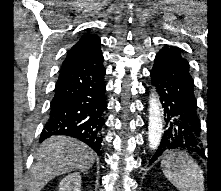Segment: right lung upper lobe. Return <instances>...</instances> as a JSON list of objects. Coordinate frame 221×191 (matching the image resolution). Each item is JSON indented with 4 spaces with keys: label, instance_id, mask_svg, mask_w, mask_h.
Here are the masks:
<instances>
[{
    "label": "right lung upper lobe",
    "instance_id": "right-lung-upper-lobe-1",
    "mask_svg": "<svg viewBox=\"0 0 221 191\" xmlns=\"http://www.w3.org/2000/svg\"><path fill=\"white\" fill-rule=\"evenodd\" d=\"M100 39L97 36L83 35L82 38L70 49L63 66L74 62L102 55Z\"/></svg>",
    "mask_w": 221,
    "mask_h": 191
}]
</instances>
